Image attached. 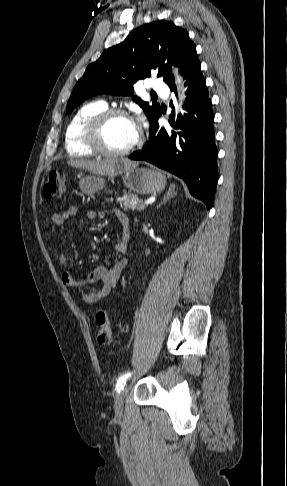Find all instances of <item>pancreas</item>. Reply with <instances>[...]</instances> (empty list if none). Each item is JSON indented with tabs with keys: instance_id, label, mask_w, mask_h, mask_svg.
<instances>
[{
	"instance_id": "cf45deb5",
	"label": "pancreas",
	"mask_w": 287,
	"mask_h": 486,
	"mask_svg": "<svg viewBox=\"0 0 287 486\" xmlns=\"http://www.w3.org/2000/svg\"><path fill=\"white\" fill-rule=\"evenodd\" d=\"M117 202L120 203L124 210H137L142 211L145 207H142L141 200L133 194H124L122 197H116Z\"/></svg>"
}]
</instances>
